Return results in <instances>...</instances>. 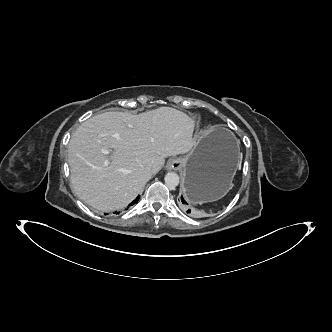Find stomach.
Returning a JSON list of instances; mask_svg holds the SVG:
<instances>
[{
    "label": "stomach",
    "mask_w": 332,
    "mask_h": 332,
    "mask_svg": "<svg viewBox=\"0 0 332 332\" xmlns=\"http://www.w3.org/2000/svg\"><path fill=\"white\" fill-rule=\"evenodd\" d=\"M240 158L238 141L228 129L202 135L186 156L177 158L184 177L185 198L202 204L224 197L231 189Z\"/></svg>",
    "instance_id": "0dacf381"
}]
</instances>
